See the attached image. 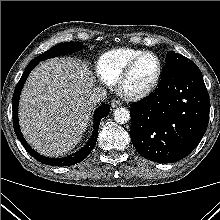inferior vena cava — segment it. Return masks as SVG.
Masks as SVG:
<instances>
[{
  "label": "inferior vena cava",
  "mask_w": 220,
  "mask_h": 220,
  "mask_svg": "<svg viewBox=\"0 0 220 220\" xmlns=\"http://www.w3.org/2000/svg\"><path fill=\"white\" fill-rule=\"evenodd\" d=\"M107 98L106 90L102 87H94L90 91L89 102L91 104H97L104 101Z\"/></svg>",
  "instance_id": "602c4592"
}]
</instances>
